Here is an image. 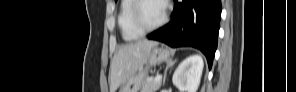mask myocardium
Masks as SVG:
<instances>
[{
	"label": "myocardium",
	"mask_w": 296,
	"mask_h": 92,
	"mask_svg": "<svg viewBox=\"0 0 296 92\" xmlns=\"http://www.w3.org/2000/svg\"><path fill=\"white\" fill-rule=\"evenodd\" d=\"M146 1H148V0L134 1L132 11H131V22H132L133 26L142 33H148V32H151V31H154V30L160 28L161 26H163L166 23V21L168 19L167 4L163 1H160L164 6L163 17L161 18L160 21H158L154 25H151V26L145 25L142 21V18H141V8Z\"/></svg>",
	"instance_id": "f54148a6"
}]
</instances>
